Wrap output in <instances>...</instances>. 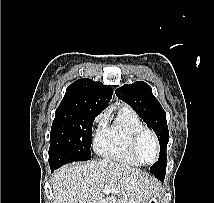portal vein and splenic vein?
<instances>
[{"mask_svg": "<svg viewBox=\"0 0 214 203\" xmlns=\"http://www.w3.org/2000/svg\"><path fill=\"white\" fill-rule=\"evenodd\" d=\"M104 190H105V192H107V193L112 191V190L110 189V187L107 186V185L104 186Z\"/></svg>", "mask_w": 214, "mask_h": 203, "instance_id": "portal-vein-and-splenic-vein-1", "label": "portal vein and splenic vein"}]
</instances>
